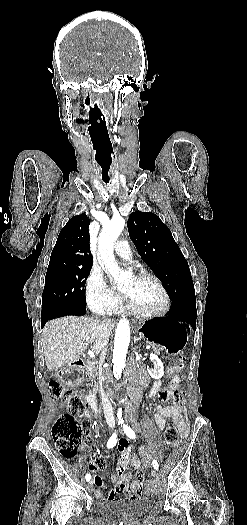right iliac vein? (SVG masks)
Listing matches in <instances>:
<instances>
[{
	"mask_svg": "<svg viewBox=\"0 0 247 525\" xmlns=\"http://www.w3.org/2000/svg\"><path fill=\"white\" fill-rule=\"evenodd\" d=\"M90 485H93V480L90 481Z\"/></svg>",
	"mask_w": 247,
	"mask_h": 525,
	"instance_id": "right-iliac-vein-1",
	"label": "right iliac vein"
}]
</instances>
